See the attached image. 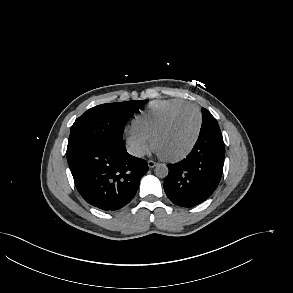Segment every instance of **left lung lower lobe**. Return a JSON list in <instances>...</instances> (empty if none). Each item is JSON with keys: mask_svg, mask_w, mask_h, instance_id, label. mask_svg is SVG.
<instances>
[{"mask_svg": "<svg viewBox=\"0 0 293 293\" xmlns=\"http://www.w3.org/2000/svg\"><path fill=\"white\" fill-rule=\"evenodd\" d=\"M224 157L220 130L200 133L185 159L167 165L169 173L164 190L168 198L182 207H192L208 199L220 182Z\"/></svg>", "mask_w": 293, "mask_h": 293, "instance_id": "obj_1", "label": "left lung lower lobe"}]
</instances>
